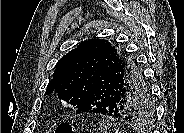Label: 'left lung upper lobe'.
Returning a JSON list of instances; mask_svg holds the SVG:
<instances>
[{"label":"left lung upper lobe","instance_id":"1","mask_svg":"<svg viewBox=\"0 0 184 133\" xmlns=\"http://www.w3.org/2000/svg\"><path fill=\"white\" fill-rule=\"evenodd\" d=\"M106 52L108 59L118 67L126 83L130 86L140 85L148 92L136 91L130 99L128 112L132 115L131 123L142 127L154 114V105L149 87L144 81L143 73L137 63L126 51L105 39H91L79 43L77 48L64 55L55 65L53 79L49 81L45 94L54 91L67 103L78 107L89 97L96 77L101 70L98 68L100 53Z\"/></svg>","mask_w":184,"mask_h":133}]
</instances>
